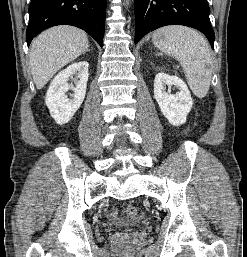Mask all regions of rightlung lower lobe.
Instances as JSON below:
<instances>
[{
	"mask_svg": "<svg viewBox=\"0 0 247 257\" xmlns=\"http://www.w3.org/2000/svg\"><path fill=\"white\" fill-rule=\"evenodd\" d=\"M105 14L106 0H31L27 44L49 27L72 25L86 31L102 47Z\"/></svg>",
	"mask_w": 247,
	"mask_h": 257,
	"instance_id": "obj_1",
	"label": "right lung lower lobe"
}]
</instances>
